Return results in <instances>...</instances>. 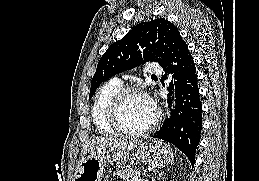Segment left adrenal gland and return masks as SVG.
<instances>
[{
	"mask_svg": "<svg viewBox=\"0 0 259 181\" xmlns=\"http://www.w3.org/2000/svg\"><path fill=\"white\" fill-rule=\"evenodd\" d=\"M163 172H161L158 176H162ZM156 178L152 179V181H155Z\"/></svg>",
	"mask_w": 259,
	"mask_h": 181,
	"instance_id": "left-adrenal-gland-1",
	"label": "left adrenal gland"
}]
</instances>
